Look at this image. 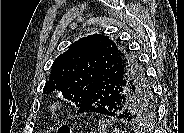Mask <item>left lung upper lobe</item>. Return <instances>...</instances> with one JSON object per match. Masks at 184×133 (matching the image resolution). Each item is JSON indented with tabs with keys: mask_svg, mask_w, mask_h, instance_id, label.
Listing matches in <instances>:
<instances>
[{
	"mask_svg": "<svg viewBox=\"0 0 184 133\" xmlns=\"http://www.w3.org/2000/svg\"><path fill=\"white\" fill-rule=\"evenodd\" d=\"M113 60L122 71L127 93L136 85L134 93L128 100L127 112L131 123L138 127L151 121L155 115V103L152 89L147 81L145 71L139 61L118 41L111 40L104 34H94L80 38L69 49L59 55L52 64L50 79L46 82L43 93L55 90L80 107L90 96L101 74L99 62L101 55ZM151 90L142 92L140 86Z\"/></svg>",
	"mask_w": 184,
	"mask_h": 133,
	"instance_id": "1",
	"label": "left lung upper lobe"
}]
</instances>
